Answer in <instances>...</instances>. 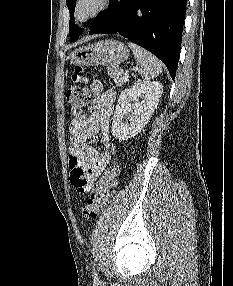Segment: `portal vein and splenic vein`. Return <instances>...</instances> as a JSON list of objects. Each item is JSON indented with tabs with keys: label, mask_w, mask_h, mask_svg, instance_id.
<instances>
[{
	"label": "portal vein and splenic vein",
	"mask_w": 233,
	"mask_h": 286,
	"mask_svg": "<svg viewBox=\"0 0 233 286\" xmlns=\"http://www.w3.org/2000/svg\"><path fill=\"white\" fill-rule=\"evenodd\" d=\"M124 76H125V77H129L128 72H125V73H124Z\"/></svg>",
	"instance_id": "obj_1"
}]
</instances>
